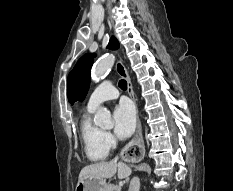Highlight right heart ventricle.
Returning <instances> with one entry per match:
<instances>
[{
  "label": "right heart ventricle",
  "instance_id": "right-heart-ventricle-1",
  "mask_svg": "<svg viewBox=\"0 0 233 191\" xmlns=\"http://www.w3.org/2000/svg\"><path fill=\"white\" fill-rule=\"evenodd\" d=\"M92 112L88 110L83 116L80 124V134L87 158L90 161L99 162L107 158L109 148L104 142V132L92 122Z\"/></svg>",
  "mask_w": 233,
  "mask_h": 191
}]
</instances>
